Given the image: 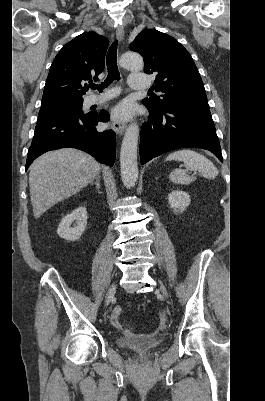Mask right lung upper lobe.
<instances>
[{"label": "right lung upper lobe", "mask_w": 265, "mask_h": 401, "mask_svg": "<svg viewBox=\"0 0 265 401\" xmlns=\"http://www.w3.org/2000/svg\"><path fill=\"white\" fill-rule=\"evenodd\" d=\"M107 47V38L95 32H85L64 45L50 67L42 105L83 99L88 88L81 82L93 77L98 80L104 70Z\"/></svg>", "instance_id": "1"}]
</instances>
